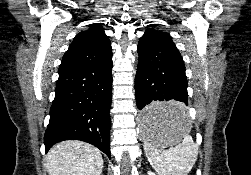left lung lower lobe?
Listing matches in <instances>:
<instances>
[{
	"mask_svg": "<svg viewBox=\"0 0 251 175\" xmlns=\"http://www.w3.org/2000/svg\"><path fill=\"white\" fill-rule=\"evenodd\" d=\"M140 63L135 78L139 121L144 125L180 122L188 115L185 66L175 44L160 34L148 33L138 43ZM175 100L179 104H160Z\"/></svg>",
	"mask_w": 251,
	"mask_h": 175,
	"instance_id": "1",
	"label": "left lung lower lobe"
}]
</instances>
